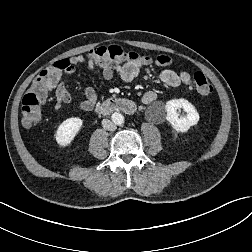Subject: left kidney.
<instances>
[{
  "mask_svg": "<svg viewBox=\"0 0 252 252\" xmlns=\"http://www.w3.org/2000/svg\"><path fill=\"white\" fill-rule=\"evenodd\" d=\"M183 109L187 114L179 118L177 110ZM165 109L167 112V121L178 132H187L191 126L196 125L199 121V114L194 106L185 99L169 100Z\"/></svg>",
  "mask_w": 252,
  "mask_h": 252,
  "instance_id": "obj_1",
  "label": "left kidney"
}]
</instances>
